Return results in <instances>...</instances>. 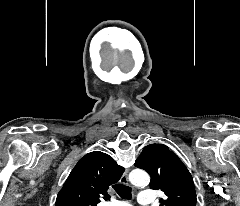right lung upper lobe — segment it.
I'll list each match as a JSON object with an SVG mask.
<instances>
[{
  "mask_svg": "<svg viewBox=\"0 0 240 206\" xmlns=\"http://www.w3.org/2000/svg\"><path fill=\"white\" fill-rule=\"evenodd\" d=\"M124 168L108 154L94 151L82 157L60 190L55 206H97L107 190L122 176Z\"/></svg>",
  "mask_w": 240,
  "mask_h": 206,
  "instance_id": "obj_1",
  "label": "right lung upper lobe"
}]
</instances>
